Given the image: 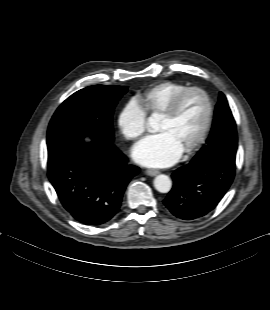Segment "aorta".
<instances>
[{
	"label": "aorta",
	"mask_w": 270,
	"mask_h": 310,
	"mask_svg": "<svg viewBox=\"0 0 270 310\" xmlns=\"http://www.w3.org/2000/svg\"><path fill=\"white\" fill-rule=\"evenodd\" d=\"M171 180L167 175L161 174L155 177L154 187L160 193H167L171 189Z\"/></svg>",
	"instance_id": "aorta-1"
}]
</instances>
